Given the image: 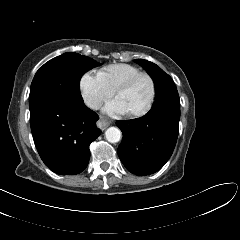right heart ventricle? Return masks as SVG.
Listing matches in <instances>:
<instances>
[{
	"instance_id": "right-heart-ventricle-1",
	"label": "right heart ventricle",
	"mask_w": 240,
	"mask_h": 240,
	"mask_svg": "<svg viewBox=\"0 0 240 240\" xmlns=\"http://www.w3.org/2000/svg\"><path fill=\"white\" fill-rule=\"evenodd\" d=\"M140 72L141 70L136 66L118 63L103 67L98 75L107 86L115 91L120 84Z\"/></svg>"
}]
</instances>
